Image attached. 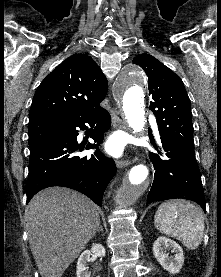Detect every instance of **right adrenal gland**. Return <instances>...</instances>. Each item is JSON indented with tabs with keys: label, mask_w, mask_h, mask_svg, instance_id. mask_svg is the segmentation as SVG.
Here are the masks:
<instances>
[{
	"label": "right adrenal gland",
	"mask_w": 221,
	"mask_h": 277,
	"mask_svg": "<svg viewBox=\"0 0 221 277\" xmlns=\"http://www.w3.org/2000/svg\"><path fill=\"white\" fill-rule=\"evenodd\" d=\"M97 232H103V227H102V225L99 226Z\"/></svg>",
	"instance_id": "2a0ac1e0"
}]
</instances>
